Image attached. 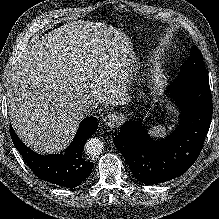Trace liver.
<instances>
[{"instance_id": "obj_1", "label": "liver", "mask_w": 219, "mask_h": 219, "mask_svg": "<svg viewBox=\"0 0 219 219\" xmlns=\"http://www.w3.org/2000/svg\"><path fill=\"white\" fill-rule=\"evenodd\" d=\"M125 34L112 26L74 21L48 32L17 59L7 88L12 127L39 153H57L74 138L79 103L124 104Z\"/></svg>"}]
</instances>
